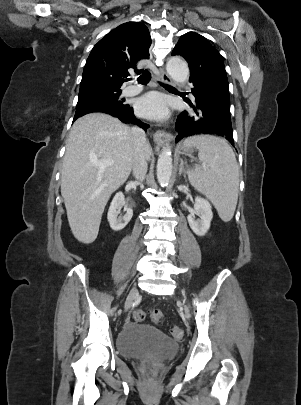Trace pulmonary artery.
Returning <instances> with one entry per match:
<instances>
[{
  "mask_svg": "<svg viewBox=\"0 0 301 405\" xmlns=\"http://www.w3.org/2000/svg\"><path fill=\"white\" fill-rule=\"evenodd\" d=\"M142 91V87L138 85H130L126 87L123 91L124 95L126 96H133Z\"/></svg>",
  "mask_w": 301,
  "mask_h": 405,
  "instance_id": "1",
  "label": "pulmonary artery"
}]
</instances>
